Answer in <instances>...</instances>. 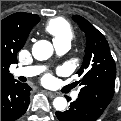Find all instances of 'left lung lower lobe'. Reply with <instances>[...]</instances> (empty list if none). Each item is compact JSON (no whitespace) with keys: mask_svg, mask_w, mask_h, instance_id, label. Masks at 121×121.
<instances>
[{"mask_svg":"<svg viewBox=\"0 0 121 121\" xmlns=\"http://www.w3.org/2000/svg\"><path fill=\"white\" fill-rule=\"evenodd\" d=\"M104 110L85 99L78 98L70 104L69 110L56 112V116L60 121H95Z\"/></svg>","mask_w":121,"mask_h":121,"instance_id":"1","label":"left lung lower lobe"}]
</instances>
